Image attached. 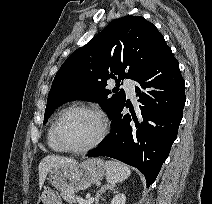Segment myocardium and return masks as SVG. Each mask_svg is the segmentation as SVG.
Instances as JSON below:
<instances>
[{"label": "myocardium", "instance_id": "f54148a6", "mask_svg": "<svg viewBox=\"0 0 212 204\" xmlns=\"http://www.w3.org/2000/svg\"><path fill=\"white\" fill-rule=\"evenodd\" d=\"M74 111H84L93 114L98 119L100 125L99 132L97 136L94 138V140L89 144L80 148H74L66 145L60 135V123L62 119L66 114ZM107 132H108V120L106 115L99 108L89 105H73L62 110L57 116L53 127L54 138L57 144L63 149V151L76 154L86 153L96 148L104 140V138L107 135Z\"/></svg>", "mask_w": 212, "mask_h": 204}]
</instances>
